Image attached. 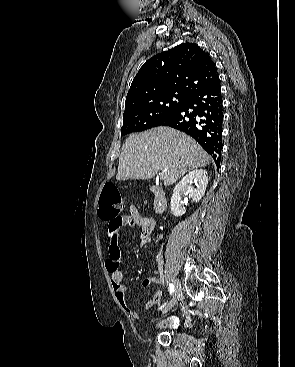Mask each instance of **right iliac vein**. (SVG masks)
<instances>
[{"instance_id": "right-iliac-vein-1", "label": "right iliac vein", "mask_w": 295, "mask_h": 367, "mask_svg": "<svg viewBox=\"0 0 295 367\" xmlns=\"http://www.w3.org/2000/svg\"><path fill=\"white\" fill-rule=\"evenodd\" d=\"M174 295L172 300L170 301V303L168 304V306L164 309L163 313H167L168 311H170L177 303L180 295H181V285L179 280L175 279L174 280Z\"/></svg>"}]
</instances>
